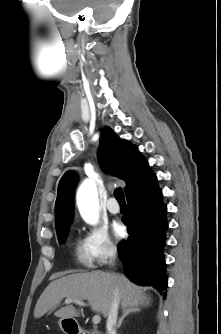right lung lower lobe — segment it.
<instances>
[{"instance_id": "obj_1", "label": "right lung lower lobe", "mask_w": 221, "mask_h": 334, "mask_svg": "<svg viewBox=\"0 0 221 334\" xmlns=\"http://www.w3.org/2000/svg\"><path fill=\"white\" fill-rule=\"evenodd\" d=\"M126 196L129 212L122 220L130 236L118 247L124 273L133 282L162 293L167 288L163 252L168 222L156 176Z\"/></svg>"}]
</instances>
